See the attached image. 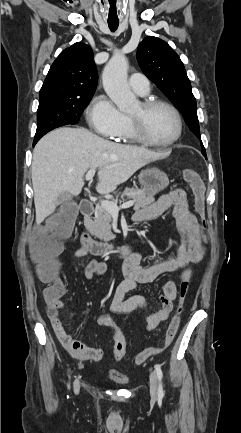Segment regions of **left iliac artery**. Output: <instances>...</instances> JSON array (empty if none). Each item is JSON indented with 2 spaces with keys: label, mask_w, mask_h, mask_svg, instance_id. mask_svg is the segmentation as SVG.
I'll return each instance as SVG.
<instances>
[{
  "label": "left iliac artery",
  "mask_w": 241,
  "mask_h": 433,
  "mask_svg": "<svg viewBox=\"0 0 241 433\" xmlns=\"http://www.w3.org/2000/svg\"><path fill=\"white\" fill-rule=\"evenodd\" d=\"M155 369L159 380L158 396L162 398L164 396L163 385H162L163 373L160 365H155Z\"/></svg>",
  "instance_id": "1"
}]
</instances>
